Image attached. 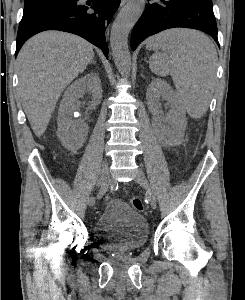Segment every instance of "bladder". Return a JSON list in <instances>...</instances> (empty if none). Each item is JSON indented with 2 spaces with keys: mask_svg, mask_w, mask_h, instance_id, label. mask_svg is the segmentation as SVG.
Segmentation results:
<instances>
[{
  "mask_svg": "<svg viewBox=\"0 0 245 300\" xmlns=\"http://www.w3.org/2000/svg\"><path fill=\"white\" fill-rule=\"evenodd\" d=\"M94 237L105 249L127 253L141 248L147 241L149 228L143 215L121 200H111L97 217Z\"/></svg>",
  "mask_w": 245,
  "mask_h": 300,
  "instance_id": "bladder-1",
  "label": "bladder"
}]
</instances>
